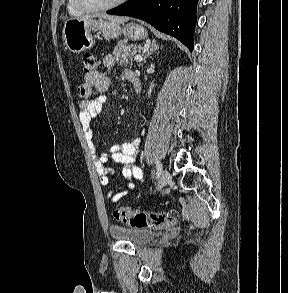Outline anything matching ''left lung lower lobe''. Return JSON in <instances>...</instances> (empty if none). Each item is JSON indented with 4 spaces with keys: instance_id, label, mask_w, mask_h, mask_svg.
<instances>
[{
    "instance_id": "0a47b994",
    "label": "left lung lower lobe",
    "mask_w": 288,
    "mask_h": 293,
    "mask_svg": "<svg viewBox=\"0 0 288 293\" xmlns=\"http://www.w3.org/2000/svg\"><path fill=\"white\" fill-rule=\"evenodd\" d=\"M197 3L198 0H128L107 13L142 19L192 51Z\"/></svg>"
}]
</instances>
